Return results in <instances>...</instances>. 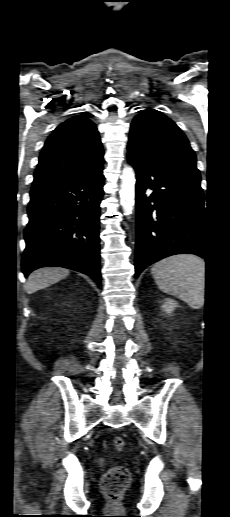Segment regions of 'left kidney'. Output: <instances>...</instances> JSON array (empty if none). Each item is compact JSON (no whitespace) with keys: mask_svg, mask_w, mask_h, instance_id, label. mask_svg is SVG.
I'll return each instance as SVG.
<instances>
[{"mask_svg":"<svg viewBox=\"0 0 230 517\" xmlns=\"http://www.w3.org/2000/svg\"><path fill=\"white\" fill-rule=\"evenodd\" d=\"M178 306V303L173 300V299H169V298H166L164 300V304L162 305V309L167 313V314H171V312L174 311V309Z\"/></svg>","mask_w":230,"mask_h":517,"instance_id":"5707ae66","label":"left kidney"}]
</instances>
